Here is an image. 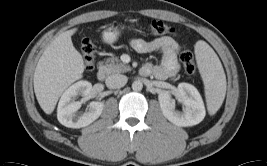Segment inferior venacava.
<instances>
[{
  "label": "inferior vena cava",
  "instance_id": "602c4592",
  "mask_svg": "<svg viewBox=\"0 0 267 166\" xmlns=\"http://www.w3.org/2000/svg\"><path fill=\"white\" fill-rule=\"evenodd\" d=\"M128 79L125 75L113 74L106 78V86L108 88H121L127 83Z\"/></svg>",
  "mask_w": 267,
  "mask_h": 166
}]
</instances>
